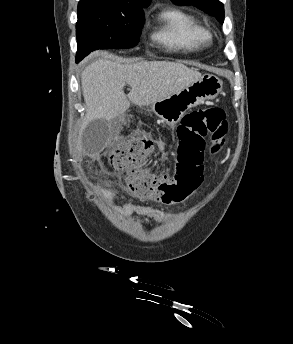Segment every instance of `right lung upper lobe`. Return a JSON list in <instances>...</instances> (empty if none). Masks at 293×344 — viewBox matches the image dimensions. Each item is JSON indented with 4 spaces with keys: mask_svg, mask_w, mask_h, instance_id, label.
<instances>
[{
    "mask_svg": "<svg viewBox=\"0 0 293 344\" xmlns=\"http://www.w3.org/2000/svg\"><path fill=\"white\" fill-rule=\"evenodd\" d=\"M83 1H98L113 6L132 7L142 11V8L147 7L151 0H80L79 3Z\"/></svg>",
    "mask_w": 293,
    "mask_h": 344,
    "instance_id": "1",
    "label": "right lung upper lobe"
}]
</instances>
